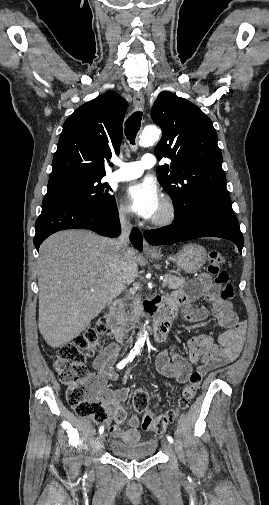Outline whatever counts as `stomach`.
Wrapping results in <instances>:
<instances>
[{
  "instance_id": "0dacf381",
  "label": "stomach",
  "mask_w": 269,
  "mask_h": 505,
  "mask_svg": "<svg viewBox=\"0 0 269 505\" xmlns=\"http://www.w3.org/2000/svg\"><path fill=\"white\" fill-rule=\"evenodd\" d=\"M153 259H159L162 255L158 253L150 254ZM207 260L205 248L197 244H186L175 255L174 261L179 269L186 273H195L199 271Z\"/></svg>"
}]
</instances>
